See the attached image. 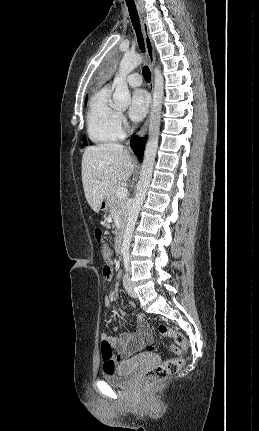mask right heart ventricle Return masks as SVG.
<instances>
[{
  "label": "right heart ventricle",
  "instance_id": "1",
  "mask_svg": "<svg viewBox=\"0 0 259 431\" xmlns=\"http://www.w3.org/2000/svg\"><path fill=\"white\" fill-rule=\"evenodd\" d=\"M111 88L105 86L98 90L90 99L87 115V134L96 144L110 143L123 137L118 122L117 110L110 104Z\"/></svg>",
  "mask_w": 259,
  "mask_h": 431
}]
</instances>
